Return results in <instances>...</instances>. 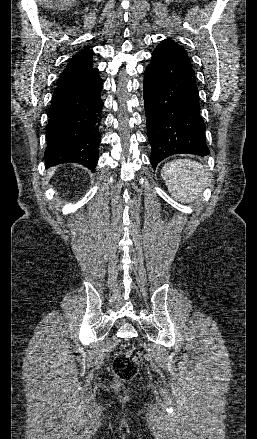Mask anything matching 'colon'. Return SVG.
Here are the masks:
<instances>
[{"instance_id":"5ec220e1","label":"colon","mask_w":257,"mask_h":439,"mask_svg":"<svg viewBox=\"0 0 257 439\" xmlns=\"http://www.w3.org/2000/svg\"><path fill=\"white\" fill-rule=\"evenodd\" d=\"M141 362V353L138 349L133 348L114 357L112 370L119 380H130L137 374Z\"/></svg>"}]
</instances>
